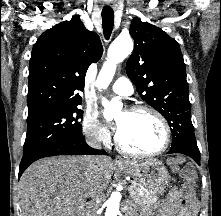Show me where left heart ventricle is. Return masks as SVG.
Returning <instances> with one entry per match:
<instances>
[{"mask_svg": "<svg viewBox=\"0 0 221 216\" xmlns=\"http://www.w3.org/2000/svg\"><path fill=\"white\" fill-rule=\"evenodd\" d=\"M121 143L134 151L151 152L158 149L164 139L160 122L153 115L145 112L123 113L118 118Z\"/></svg>", "mask_w": 221, "mask_h": 216, "instance_id": "b2bd125f", "label": "left heart ventricle"}]
</instances>
